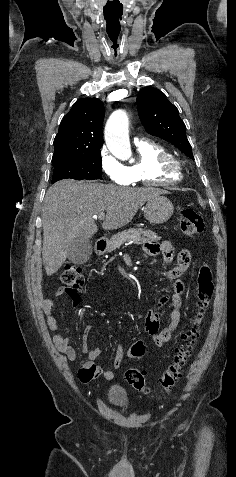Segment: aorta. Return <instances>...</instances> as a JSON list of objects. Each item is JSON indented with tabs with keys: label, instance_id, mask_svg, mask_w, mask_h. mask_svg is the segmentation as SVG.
Instances as JSON below:
<instances>
[{
	"label": "aorta",
	"instance_id": "762f6f07",
	"mask_svg": "<svg viewBox=\"0 0 236 477\" xmlns=\"http://www.w3.org/2000/svg\"><path fill=\"white\" fill-rule=\"evenodd\" d=\"M128 127V116L123 110L115 111L109 117L105 126L104 136L108 148L122 159L131 156Z\"/></svg>",
	"mask_w": 236,
	"mask_h": 477
}]
</instances>
